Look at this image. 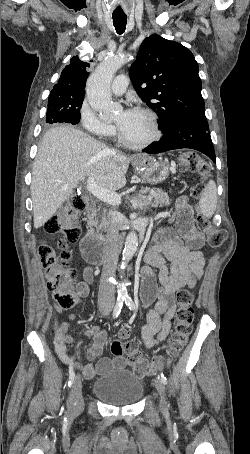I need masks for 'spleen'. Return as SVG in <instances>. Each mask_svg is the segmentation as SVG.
<instances>
[{
    "instance_id": "obj_1",
    "label": "spleen",
    "mask_w": 250,
    "mask_h": 454,
    "mask_svg": "<svg viewBox=\"0 0 250 454\" xmlns=\"http://www.w3.org/2000/svg\"><path fill=\"white\" fill-rule=\"evenodd\" d=\"M216 206L217 188L215 182L210 180L201 194L199 208L205 217L210 218L215 213Z\"/></svg>"
}]
</instances>
